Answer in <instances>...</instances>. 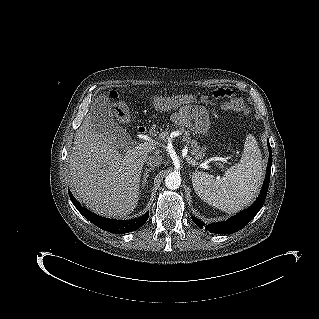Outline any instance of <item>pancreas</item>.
I'll use <instances>...</instances> for the list:
<instances>
[{"label": "pancreas", "instance_id": "pancreas-1", "mask_svg": "<svg viewBox=\"0 0 319 319\" xmlns=\"http://www.w3.org/2000/svg\"><path fill=\"white\" fill-rule=\"evenodd\" d=\"M180 133H181V136H180L181 140L189 145L191 154L194 155L196 158H203L205 156V149L202 148L196 140L191 139L190 134L184 129H180ZM150 134L152 136L160 135L156 126H154L150 130Z\"/></svg>", "mask_w": 319, "mask_h": 319}]
</instances>
